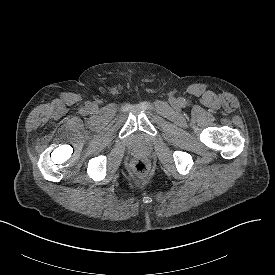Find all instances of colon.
Instances as JSON below:
<instances>
[{
	"mask_svg": "<svg viewBox=\"0 0 275 275\" xmlns=\"http://www.w3.org/2000/svg\"><path fill=\"white\" fill-rule=\"evenodd\" d=\"M132 169L134 173L140 177H145L150 170L148 162L143 158H136L133 161Z\"/></svg>",
	"mask_w": 275,
	"mask_h": 275,
	"instance_id": "colon-1",
	"label": "colon"
}]
</instances>
